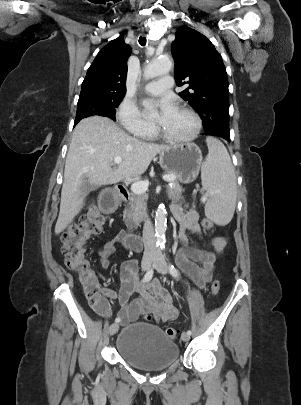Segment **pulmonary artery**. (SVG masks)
Instances as JSON below:
<instances>
[{"label":"pulmonary artery","instance_id":"pulmonary-artery-1","mask_svg":"<svg viewBox=\"0 0 301 405\" xmlns=\"http://www.w3.org/2000/svg\"><path fill=\"white\" fill-rule=\"evenodd\" d=\"M173 82L172 76H163L157 80L148 82L144 89L150 94L160 95L170 89L173 86Z\"/></svg>","mask_w":301,"mask_h":405}]
</instances>
